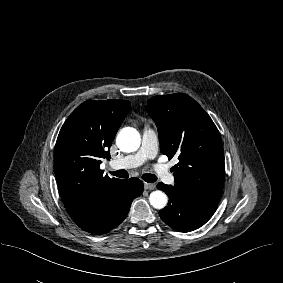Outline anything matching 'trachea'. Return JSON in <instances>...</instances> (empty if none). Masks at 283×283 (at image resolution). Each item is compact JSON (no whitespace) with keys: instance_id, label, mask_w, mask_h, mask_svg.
<instances>
[{"instance_id":"trachea-1","label":"trachea","mask_w":283,"mask_h":283,"mask_svg":"<svg viewBox=\"0 0 283 283\" xmlns=\"http://www.w3.org/2000/svg\"><path fill=\"white\" fill-rule=\"evenodd\" d=\"M113 176L119 178H128L129 173L126 170H117L115 172H110ZM142 179L148 183H153L157 180V177L154 174L145 173L142 175Z\"/></svg>"}]
</instances>
